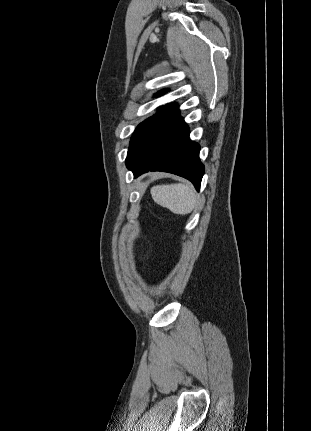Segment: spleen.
<instances>
[{
  "label": "spleen",
  "mask_w": 311,
  "mask_h": 431,
  "mask_svg": "<svg viewBox=\"0 0 311 431\" xmlns=\"http://www.w3.org/2000/svg\"><path fill=\"white\" fill-rule=\"evenodd\" d=\"M151 196L159 206L168 208L173 214H191L197 204V196L190 184H170L153 186Z\"/></svg>",
  "instance_id": "3e777b00"
}]
</instances>
